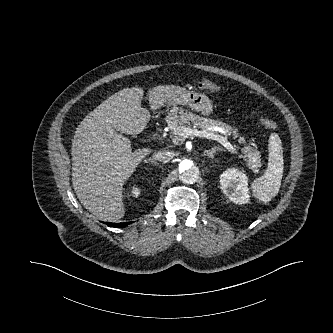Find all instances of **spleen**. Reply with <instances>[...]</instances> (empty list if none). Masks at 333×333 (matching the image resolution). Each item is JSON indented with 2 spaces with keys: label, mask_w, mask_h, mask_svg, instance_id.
<instances>
[{
  "label": "spleen",
  "mask_w": 333,
  "mask_h": 333,
  "mask_svg": "<svg viewBox=\"0 0 333 333\" xmlns=\"http://www.w3.org/2000/svg\"><path fill=\"white\" fill-rule=\"evenodd\" d=\"M269 151V162L265 174L251 184L254 196L264 203L277 195L283 177V148L276 134L270 137Z\"/></svg>",
  "instance_id": "spleen-1"
}]
</instances>
